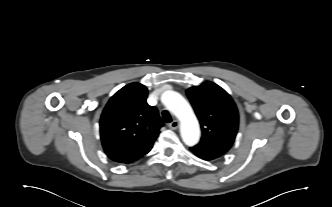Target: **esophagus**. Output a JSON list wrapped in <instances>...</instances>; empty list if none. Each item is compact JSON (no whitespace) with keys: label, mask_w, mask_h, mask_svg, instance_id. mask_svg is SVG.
<instances>
[{"label":"esophagus","mask_w":332,"mask_h":207,"mask_svg":"<svg viewBox=\"0 0 332 207\" xmlns=\"http://www.w3.org/2000/svg\"><path fill=\"white\" fill-rule=\"evenodd\" d=\"M169 128L172 130H176L179 127V122L177 120L172 121L169 123Z\"/></svg>","instance_id":"34e87169"}]
</instances>
